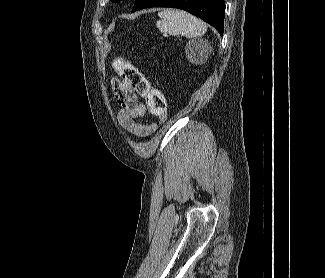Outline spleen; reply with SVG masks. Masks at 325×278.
<instances>
[{"label":"spleen","mask_w":325,"mask_h":278,"mask_svg":"<svg viewBox=\"0 0 325 278\" xmlns=\"http://www.w3.org/2000/svg\"><path fill=\"white\" fill-rule=\"evenodd\" d=\"M158 17L157 28L170 35L195 38L204 35L207 31L205 23L185 11L164 9L158 13Z\"/></svg>","instance_id":"spleen-1"}]
</instances>
